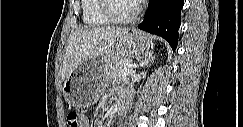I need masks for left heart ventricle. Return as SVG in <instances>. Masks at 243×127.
<instances>
[{
  "label": "left heart ventricle",
  "instance_id": "b2bd125f",
  "mask_svg": "<svg viewBox=\"0 0 243 127\" xmlns=\"http://www.w3.org/2000/svg\"><path fill=\"white\" fill-rule=\"evenodd\" d=\"M111 5L114 13L119 16H128L134 10L133 2L130 0H113Z\"/></svg>",
  "mask_w": 243,
  "mask_h": 127
}]
</instances>
